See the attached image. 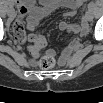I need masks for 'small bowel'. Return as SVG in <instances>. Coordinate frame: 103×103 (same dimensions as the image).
<instances>
[{
    "label": "small bowel",
    "instance_id": "1",
    "mask_svg": "<svg viewBox=\"0 0 103 103\" xmlns=\"http://www.w3.org/2000/svg\"><path fill=\"white\" fill-rule=\"evenodd\" d=\"M19 10L21 16H27L26 29L31 31L26 36L25 29L20 21H15L13 24V36L17 43H24L26 40L32 43L28 47V51L31 55L30 63L35 65L37 60L41 57L43 49L46 47V38L39 33L34 32L41 19L52 13L57 9H66L65 16H74L79 9H83V12L79 18V23H67L61 22L59 28L68 33L86 35L89 32L88 25V12L85 4L80 0H64L54 1L46 0L41 6L35 4L33 1H10L8 8L13 9V6ZM91 5L88 7L90 8ZM80 46V40L78 38L73 39L57 56L59 64H65L73 53ZM48 54H54V51L49 50Z\"/></svg>",
    "mask_w": 103,
    "mask_h": 103
}]
</instances>
